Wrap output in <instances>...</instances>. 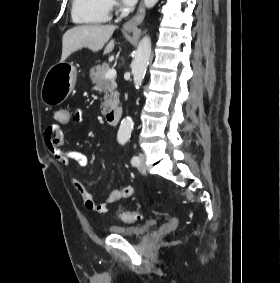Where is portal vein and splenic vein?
I'll return each instance as SVG.
<instances>
[{"label": "portal vein and splenic vein", "instance_id": "18ae733b", "mask_svg": "<svg viewBox=\"0 0 280 283\" xmlns=\"http://www.w3.org/2000/svg\"><path fill=\"white\" fill-rule=\"evenodd\" d=\"M116 77V70L114 68L109 69L105 74V79H114Z\"/></svg>", "mask_w": 280, "mask_h": 283}]
</instances>
